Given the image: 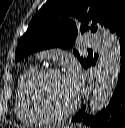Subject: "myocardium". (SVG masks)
Here are the masks:
<instances>
[{"label":"myocardium","mask_w":125,"mask_h":128,"mask_svg":"<svg viewBox=\"0 0 125 128\" xmlns=\"http://www.w3.org/2000/svg\"><path fill=\"white\" fill-rule=\"evenodd\" d=\"M61 74L62 72L59 69L44 68L40 71H37L28 85V96L34 109L39 113L40 116L49 122L60 121L71 116L77 110L79 105V97L76 96L72 105L68 109L61 112H53L45 106L40 96V87L48 78Z\"/></svg>","instance_id":"1"}]
</instances>
